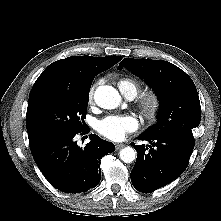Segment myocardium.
<instances>
[{
  "mask_svg": "<svg viewBox=\"0 0 221 221\" xmlns=\"http://www.w3.org/2000/svg\"><path fill=\"white\" fill-rule=\"evenodd\" d=\"M138 106L146 119L154 120L160 114L162 99L156 91H147L140 96Z\"/></svg>",
  "mask_w": 221,
  "mask_h": 221,
  "instance_id": "obj_1",
  "label": "myocardium"
}]
</instances>
